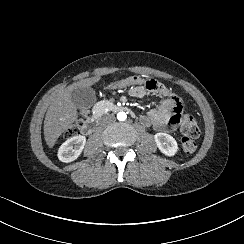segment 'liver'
Returning <instances> with one entry per match:
<instances>
[{
	"instance_id": "6515ba94",
	"label": "liver",
	"mask_w": 244,
	"mask_h": 244,
	"mask_svg": "<svg viewBox=\"0 0 244 244\" xmlns=\"http://www.w3.org/2000/svg\"><path fill=\"white\" fill-rule=\"evenodd\" d=\"M99 79L100 77L82 79L59 91L53 98L44 120V137L50 148L54 146L63 131L78 117L76 106L71 100L72 91L76 88H87Z\"/></svg>"
}]
</instances>
